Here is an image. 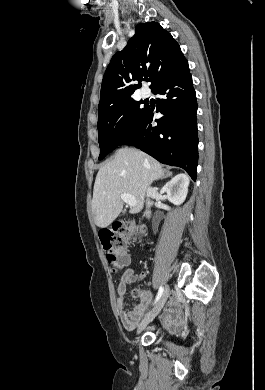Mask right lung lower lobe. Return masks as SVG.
Returning <instances> with one entry per match:
<instances>
[{"label":"right lung lower lobe","instance_id":"98d812e1","mask_svg":"<svg viewBox=\"0 0 265 390\" xmlns=\"http://www.w3.org/2000/svg\"><path fill=\"white\" fill-rule=\"evenodd\" d=\"M152 91L163 95L157 101L156 112L164 116L154 120L155 112L149 107L142 122L122 144L135 146L161 163L181 167L196 180L197 101L188 61L161 80Z\"/></svg>","mask_w":265,"mask_h":390}]
</instances>
